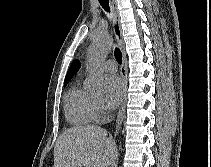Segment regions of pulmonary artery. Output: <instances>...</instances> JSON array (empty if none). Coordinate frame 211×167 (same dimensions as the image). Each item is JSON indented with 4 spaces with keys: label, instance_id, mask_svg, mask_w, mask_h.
Wrapping results in <instances>:
<instances>
[{
    "label": "pulmonary artery",
    "instance_id": "pulmonary-artery-1",
    "mask_svg": "<svg viewBox=\"0 0 211 167\" xmlns=\"http://www.w3.org/2000/svg\"><path fill=\"white\" fill-rule=\"evenodd\" d=\"M103 67L106 71L114 73L117 70V63L115 62V60L108 59L104 62Z\"/></svg>",
    "mask_w": 211,
    "mask_h": 167
}]
</instances>
